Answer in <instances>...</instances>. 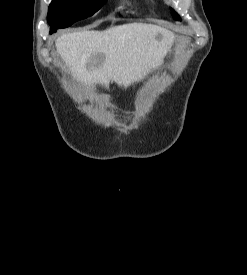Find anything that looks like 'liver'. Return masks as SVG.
<instances>
[{
	"label": "liver",
	"mask_w": 247,
	"mask_h": 275,
	"mask_svg": "<svg viewBox=\"0 0 247 275\" xmlns=\"http://www.w3.org/2000/svg\"><path fill=\"white\" fill-rule=\"evenodd\" d=\"M173 41V33L161 26L127 23L63 34L55 46L77 81L106 88L114 81L127 88L162 64Z\"/></svg>",
	"instance_id": "liver-1"
}]
</instances>
